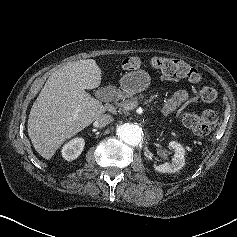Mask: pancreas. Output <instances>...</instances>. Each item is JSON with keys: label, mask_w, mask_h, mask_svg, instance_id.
I'll use <instances>...</instances> for the list:
<instances>
[{"label": "pancreas", "mask_w": 237, "mask_h": 237, "mask_svg": "<svg viewBox=\"0 0 237 237\" xmlns=\"http://www.w3.org/2000/svg\"><path fill=\"white\" fill-rule=\"evenodd\" d=\"M139 100H140V97H137V96L130 97L129 99H126V100L121 101L120 103H117V105L120 110L127 111L129 109L134 108L138 104Z\"/></svg>", "instance_id": "1"}]
</instances>
